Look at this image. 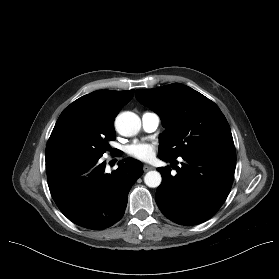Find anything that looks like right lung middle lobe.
I'll return each mask as SVG.
<instances>
[{"label": "right lung middle lobe", "instance_id": "right-lung-middle-lobe-1", "mask_svg": "<svg viewBox=\"0 0 279 279\" xmlns=\"http://www.w3.org/2000/svg\"><path fill=\"white\" fill-rule=\"evenodd\" d=\"M116 138L114 126L102 123L87 109L68 106L48 140L46 163L75 158H99Z\"/></svg>", "mask_w": 279, "mask_h": 279}]
</instances>
